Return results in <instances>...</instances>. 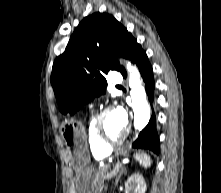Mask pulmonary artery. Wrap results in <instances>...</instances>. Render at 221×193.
I'll return each mask as SVG.
<instances>
[{
  "label": "pulmonary artery",
  "mask_w": 221,
  "mask_h": 193,
  "mask_svg": "<svg viewBox=\"0 0 221 193\" xmlns=\"http://www.w3.org/2000/svg\"><path fill=\"white\" fill-rule=\"evenodd\" d=\"M111 82L115 86H119L123 82V77L119 71H114L111 76Z\"/></svg>",
  "instance_id": "obj_1"
}]
</instances>
